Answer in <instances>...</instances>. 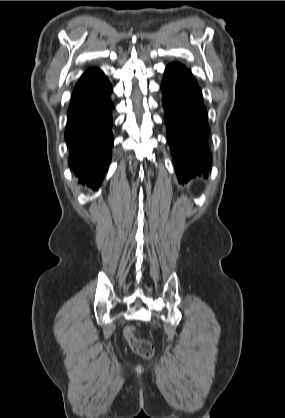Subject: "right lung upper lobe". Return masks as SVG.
Returning <instances> with one entry per match:
<instances>
[{"label": "right lung upper lobe", "mask_w": 285, "mask_h": 418, "mask_svg": "<svg viewBox=\"0 0 285 418\" xmlns=\"http://www.w3.org/2000/svg\"><path fill=\"white\" fill-rule=\"evenodd\" d=\"M99 71V69H97V68H90V69H88L83 75H82V77L80 78V80L79 81H81L83 78H85V77H87L88 75H91V74H94V73H96V72H98Z\"/></svg>", "instance_id": "obj_1"}]
</instances>
